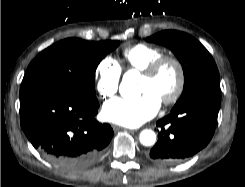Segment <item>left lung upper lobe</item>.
<instances>
[{
	"mask_svg": "<svg viewBox=\"0 0 245 187\" xmlns=\"http://www.w3.org/2000/svg\"><path fill=\"white\" fill-rule=\"evenodd\" d=\"M146 41L170 48L183 67L184 90L173 109L202 93L220 89L217 66L211 54L195 38L176 30H166Z\"/></svg>",
	"mask_w": 245,
	"mask_h": 187,
	"instance_id": "obj_1",
	"label": "left lung upper lobe"
}]
</instances>
